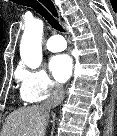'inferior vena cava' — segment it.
Masks as SVG:
<instances>
[{"label": "inferior vena cava", "mask_w": 117, "mask_h": 136, "mask_svg": "<svg viewBox=\"0 0 117 136\" xmlns=\"http://www.w3.org/2000/svg\"><path fill=\"white\" fill-rule=\"evenodd\" d=\"M64 99V89L60 84H55L52 88L50 96L44 101L41 107L48 112H52L51 109L55 108Z\"/></svg>", "instance_id": "602c4592"}]
</instances>
